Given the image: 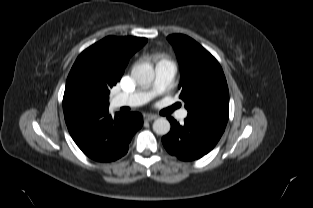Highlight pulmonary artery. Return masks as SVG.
I'll return each mask as SVG.
<instances>
[{"instance_id":"obj_1","label":"pulmonary artery","mask_w":313,"mask_h":208,"mask_svg":"<svg viewBox=\"0 0 313 208\" xmlns=\"http://www.w3.org/2000/svg\"><path fill=\"white\" fill-rule=\"evenodd\" d=\"M176 73L175 65L170 61H161L155 67V79L153 84L146 89L137 90L131 93H119L112 99L114 107H135L142 105L158 94L167 90L173 81ZM187 111L182 110L180 118L186 117Z\"/></svg>"}]
</instances>
